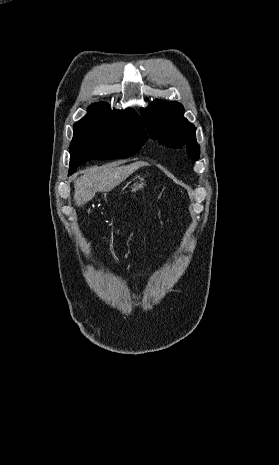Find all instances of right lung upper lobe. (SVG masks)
Wrapping results in <instances>:
<instances>
[{
    "mask_svg": "<svg viewBox=\"0 0 279 465\" xmlns=\"http://www.w3.org/2000/svg\"><path fill=\"white\" fill-rule=\"evenodd\" d=\"M97 125H132L140 128L146 134L141 120L134 110L112 111L106 102L90 105L88 115L76 122L73 129H85Z\"/></svg>",
    "mask_w": 279,
    "mask_h": 465,
    "instance_id": "cb5924a9",
    "label": "right lung upper lobe"
}]
</instances>
